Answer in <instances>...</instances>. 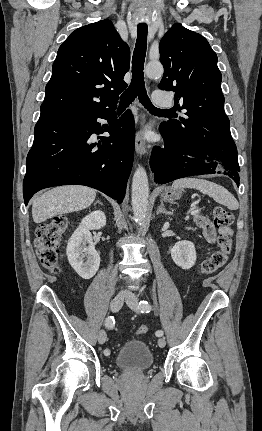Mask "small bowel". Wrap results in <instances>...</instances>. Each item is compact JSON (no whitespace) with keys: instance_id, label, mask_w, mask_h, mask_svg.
<instances>
[{"instance_id":"obj_1","label":"small bowel","mask_w":262,"mask_h":431,"mask_svg":"<svg viewBox=\"0 0 262 431\" xmlns=\"http://www.w3.org/2000/svg\"><path fill=\"white\" fill-rule=\"evenodd\" d=\"M197 225L202 230V233L207 240L208 243L214 244L217 239V235L227 233L229 234L231 231L228 228L224 229H216L213 223L204 216L197 217Z\"/></svg>"}]
</instances>
